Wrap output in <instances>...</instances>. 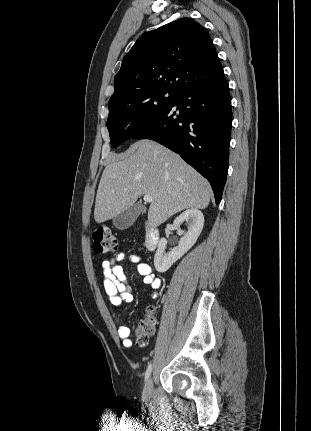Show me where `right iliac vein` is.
<instances>
[{"label":"right iliac vein","instance_id":"obj_1","mask_svg":"<svg viewBox=\"0 0 311 431\" xmlns=\"http://www.w3.org/2000/svg\"><path fill=\"white\" fill-rule=\"evenodd\" d=\"M152 391H153V381H152V378H149L143 390V398L145 400H149L152 396Z\"/></svg>","mask_w":311,"mask_h":431}]
</instances>
